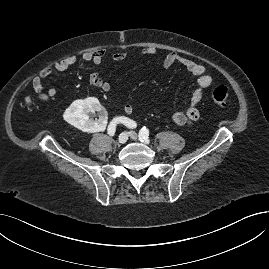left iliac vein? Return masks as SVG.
<instances>
[{
  "label": "left iliac vein",
  "mask_w": 269,
  "mask_h": 269,
  "mask_svg": "<svg viewBox=\"0 0 269 269\" xmlns=\"http://www.w3.org/2000/svg\"><path fill=\"white\" fill-rule=\"evenodd\" d=\"M129 136H130V138L133 139V140H137V138H138L137 133L134 132V131H130V132H129Z\"/></svg>",
  "instance_id": "left-iliac-vein-1"
}]
</instances>
